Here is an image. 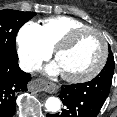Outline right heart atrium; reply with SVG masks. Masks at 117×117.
<instances>
[{"label":"right heart atrium","instance_id":"1","mask_svg":"<svg viewBox=\"0 0 117 117\" xmlns=\"http://www.w3.org/2000/svg\"><path fill=\"white\" fill-rule=\"evenodd\" d=\"M16 42L20 62L28 70L37 67L51 53L42 38L40 25L35 22H28L21 27Z\"/></svg>","mask_w":117,"mask_h":117}]
</instances>
